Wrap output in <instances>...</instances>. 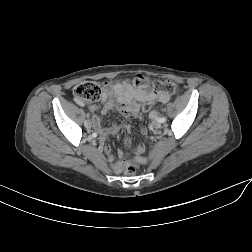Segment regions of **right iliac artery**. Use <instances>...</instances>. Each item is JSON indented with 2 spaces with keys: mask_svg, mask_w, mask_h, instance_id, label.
I'll list each match as a JSON object with an SVG mask.
<instances>
[{
  "mask_svg": "<svg viewBox=\"0 0 252 252\" xmlns=\"http://www.w3.org/2000/svg\"><path fill=\"white\" fill-rule=\"evenodd\" d=\"M98 136H99V133H98V132H93V133H92V137H93V138H96V137H98Z\"/></svg>",
  "mask_w": 252,
  "mask_h": 252,
  "instance_id": "1",
  "label": "right iliac artery"
}]
</instances>
